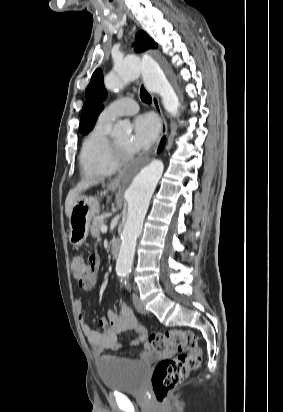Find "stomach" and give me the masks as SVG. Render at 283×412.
<instances>
[{
  "label": "stomach",
  "instance_id": "1",
  "mask_svg": "<svg viewBox=\"0 0 283 412\" xmlns=\"http://www.w3.org/2000/svg\"><path fill=\"white\" fill-rule=\"evenodd\" d=\"M99 212V202L95 197L81 196L74 203L69 217V241L73 246H81L87 239L90 223Z\"/></svg>",
  "mask_w": 283,
  "mask_h": 412
}]
</instances>
